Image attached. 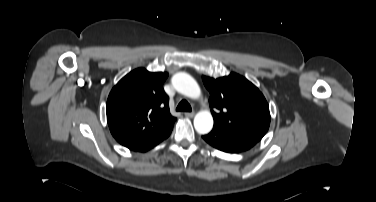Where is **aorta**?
<instances>
[{
  "mask_svg": "<svg viewBox=\"0 0 376 202\" xmlns=\"http://www.w3.org/2000/svg\"><path fill=\"white\" fill-rule=\"evenodd\" d=\"M172 85L177 92L197 99L201 90L195 79L187 73L179 72L172 77ZM194 127L199 134H207L212 130L213 117L208 111H200L194 118Z\"/></svg>",
  "mask_w": 376,
  "mask_h": 202,
  "instance_id": "aorta-1",
  "label": "aorta"
}]
</instances>
